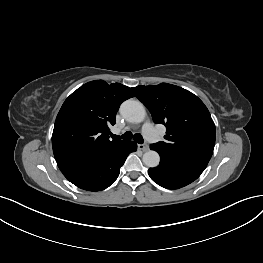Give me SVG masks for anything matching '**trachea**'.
I'll use <instances>...</instances> for the list:
<instances>
[{"instance_id": "trachea-1", "label": "trachea", "mask_w": 263, "mask_h": 263, "mask_svg": "<svg viewBox=\"0 0 263 263\" xmlns=\"http://www.w3.org/2000/svg\"><path fill=\"white\" fill-rule=\"evenodd\" d=\"M114 138H119V139H124V140H130L133 139L135 142L139 143V144H143V137L141 134L136 133V134H132V132L127 131L125 132L123 135L118 136V135H113Z\"/></svg>"}]
</instances>
